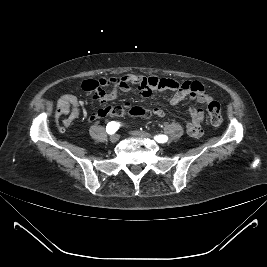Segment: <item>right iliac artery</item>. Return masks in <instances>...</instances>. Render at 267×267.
I'll use <instances>...</instances> for the list:
<instances>
[{"label":"right iliac artery","mask_w":267,"mask_h":267,"mask_svg":"<svg viewBox=\"0 0 267 267\" xmlns=\"http://www.w3.org/2000/svg\"><path fill=\"white\" fill-rule=\"evenodd\" d=\"M119 126L120 125L117 122H114V121L109 122L106 126V131L108 134H113L118 130Z\"/></svg>","instance_id":"obj_1"}]
</instances>
